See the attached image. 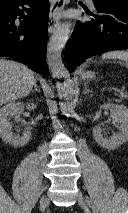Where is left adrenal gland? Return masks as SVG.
Here are the masks:
<instances>
[{"label": "left adrenal gland", "mask_w": 128, "mask_h": 213, "mask_svg": "<svg viewBox=\"0 0 128 213\" xmlns=\"http://www.w3.org/2000/svg\"><path fill=\"white\" fill-rule=\"evenodd\" d=\"M91 92H92V91L89 90V89L87 88V85L84 84V91H83V94L86 95L87 93H91Z\"/></svg>", "instance_id": "a2214340"}]
</instances>
